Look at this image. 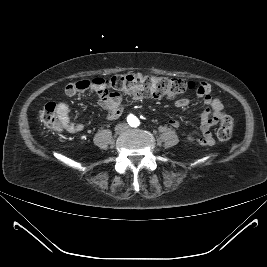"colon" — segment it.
Segmentation results:
<instances>
[{
	"label": "colon",
	"instance_id": "1",
	"mask_svg": "<svg viewBox=\"0 0 267 267\" xmlns=\"http://www.w3.org/2000/svg\"><path fill=\"white\" fill-rule=\"evenodd\" d=\"M98 83L87 80L82 87L93 90L98 98H104L109 94H124L136 98H175L178 95L197 88L193 82L179 78L157 76L152 74L127 73L114 76L107 80L100 81V87L93 89ZM42 124L50 130H60L61 124L57 114L56 105L50 102L45 105L40 114ZM233 121L224 115L217 130V137L220 141H228L232 137Z\"/></svg>",
	"mask_w": 267,
	"mask_h": 267
}]
</instances>
